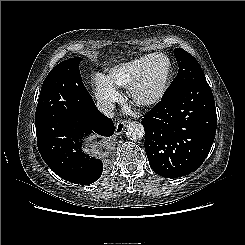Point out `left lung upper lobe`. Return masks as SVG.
Instances as JSON below:
<instances>
[{"instance_id": "left-lung-upper-lobe-1", "label": "left lung upper lobe", "mask_w": 245, "mask_h": 245, "mask_svg": "<svg viewBox=\"0 0 245 245\" xmlns=\"http://www.w3.org/2000/svg\"><path fill=\"white\" fill-rule=\"evenodd\" d=\"M174 53L179 64V71L165 93H172L193 82L206 80L201 66L190 53L181 48L174 49Z\"/></svg>"}]
</instances>
